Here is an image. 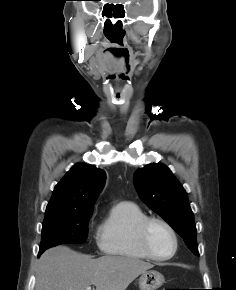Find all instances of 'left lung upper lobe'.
<instances>
[{
  "label": "left lung upper lobe",
  "instance_id": "obj_1",
  "mask_svg": "<svg viewBox=\"0 0 236 290\" xmlns=\"http://www.w3.org/2000/svg\"><path fill=\"white\" fill-rule=\"evenodd\" d=\"M136 190L142 201L161 216L183 239L187 247L199 256L194 215L187 193L170 169L152 163L136 170Z\"/></svg>",
  "mask_w": 236,
  "mask_h": 290
}]
</instances>
